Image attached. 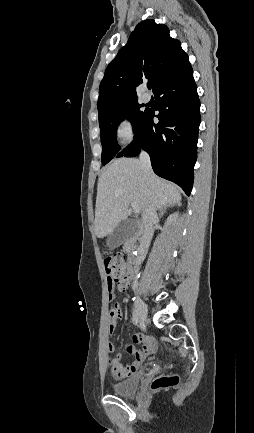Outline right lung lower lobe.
<instances>
[{
    "mask_svg": "<svg viewBox=\"0 0 254 433\" xmlns=\"http://www.w3.org/2000/svg\"><path fill=\"white\" fill-rule=\"evenodd\" d=\"M154 111L147 110L134 131L133 142L116 157H134L144 149L154 172L178 184L189 196L197 157L200 101L187 58L154 92Z\"/></svg>",
    "mask_w": 254,
    "mask_h": 433,
    "instance_id": "98d812e1",
    "label": "right lung lower lobe"
}]
</instances>
